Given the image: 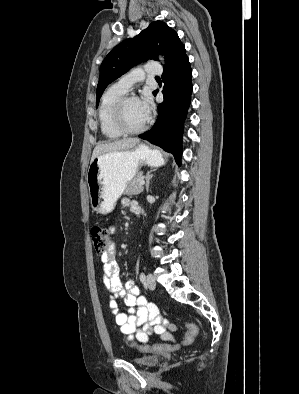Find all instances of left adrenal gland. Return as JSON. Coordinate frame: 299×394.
Returning <instances> with one entry per match:
<instances>
[{
  "label": "left adrenal gland",
  "instance_id": "1",
  "mask_svg": "<svg viewBox=\"0 0 299 394\" xmlns=\"http://www.w3.org/2000/svg\"><path fill=\"white\" fill-rule=\"evenodd\" d=\"M152 171H155V170H152ZM152 171L148 172L146 175V191L147 192H149L150 179H152V177H153V174H151Z\"/></svg>",
  "mask_w": 299,
  "mask_h": 394
}]
</instances>
